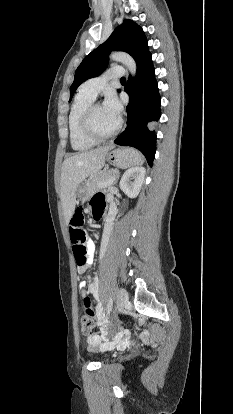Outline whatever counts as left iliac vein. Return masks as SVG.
Segmentation results:
<instances>
[{
    "instance_id": "left-iliac-vein-1",
    "label": "left iliac vein",
    "mask_w": 233,
    "mask_h": 414,
    "mask_svg": "<svg viewBox=\"0 0 233 414\" xmlns=\"http://www.w3.org/2000/svg\"><path fill=\"white\" fill-rule=\"evenodd\" d=\"M128 293L124 288H120L117 292V306L116 310L117 312L124 311L127 303H128Z\"/></svg>"
}]
</instances>
